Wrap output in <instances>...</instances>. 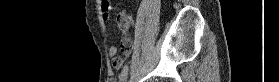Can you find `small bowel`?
<instances>
[{"instance_id":"c3829d8e","label":"small bowel","mask_w":279,"mask_h":82,"mask_svg":"<svg viewBox=\"0 0 279 82\" xmlns=\"http://www.w3.org/2000/svg\"><path fill=\"white\" fill-rule=\"evenodd\" d=\"M98 5L100 6L104 18L107 19L109 17L110 13V8L109 5L105 4L104 2L98 1ZM121 32L123 34H126L128 27L121 28L119 27ZM121 48L124 51L125 54H128L131 50V40L127 37L124 36L121 40ZM109 56L113 59V68L116 70H119L122 68L124 64V60L118 56V48L116 46H111L109 48Z\"/></svg>"}]
</instances>
